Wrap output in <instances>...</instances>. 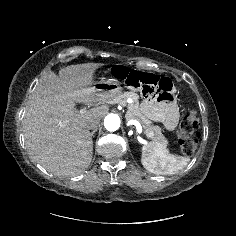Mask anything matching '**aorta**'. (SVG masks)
Here are the masks:
<instances>
[{
	"instance_id": "aorta-1",
	"label": "aorta",
	"mask_w": 236,
	"mask_h": 236,
	"mask_svg": "<svg viewBox=\"0 0 236 236\" xmlns=\"http://www.w3.org/2000/svg\"><path fill=\"white\" fill-rule=\"evenodd\" d=\"M120 124V117L117 114H109L104 119V126L108 131L118 130Z\"/></svg>"
}]
</instances>
